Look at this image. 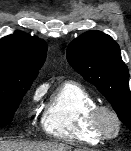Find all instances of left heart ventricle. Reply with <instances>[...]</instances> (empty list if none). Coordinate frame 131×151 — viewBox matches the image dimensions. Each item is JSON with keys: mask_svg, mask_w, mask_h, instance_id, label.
<instances>
[{"mask_svg": "<svg viewBox=\"0 0 131 151\" xmlns=\"http://www.w3.org/2000/svg\"><path fill=\"white\" fill-rule=\"evenodd\" d=\"M104 124H105V126H106V128H107L108 130L114 131V129H115V124H114V122L112 121V119H110V118H105V119H104Z\"/></svg>", "mask_w": 131, "mask_h": 151, "instance_id": "b2bd125f", "label": "left heart ventricle"}]
</instances>
